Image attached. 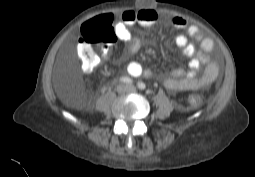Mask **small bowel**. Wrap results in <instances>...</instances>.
Wrapping results in <instances>:
<instances>
[{
	"instance_id": "1",
	"label": "small bowel",
	"mask_w": 255,
	"mask_h": 177,
	"mask_svg": "<svg viewBox=\"0 0 255 177\" xmlns=\"http://www.w3.org/2000/svg\"><path fill=\"white\" fill-rule=\"evenodd\" d=\"M111 21V16L106 15ZM161 20L160 14L152 8H142L139 10H126L122 13L120 19L113 25L112 29L116 37L128 44L122 57H128L136 54L141 48L140 40L133 35L130 28L135 25L145 27L153 26ZM170 25L175 30H185L186 34H179L175 37V44L182 50L184 56L189 58L187 69H174L164 78V86L168 91H190L201 88L211 83L218 73L219 66L215 62H210V53L214 49V42L211 38L203 37L200 28L188 22L182 17H172ZM191 37L199 41V50L189 41ZM81 45H79L80 47ZM98 63L96 58L95 66ZM207 65L204 75L197 76L201 66ZM94 66V67H95ZM93 67V68H94ZM85 72L92 69L83 67ZM127 72L133 77L146 76L151 77L154 73L145 70L138 62H130L127 66Z\"/></svg>"
}]
</instances>
